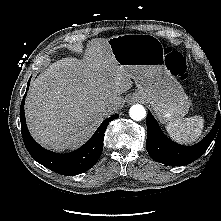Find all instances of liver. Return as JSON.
Wrapping results in <instances>:
<instances>
[{"label":"liver","instance_id":"6515ba94","mask_svg":"<svg viewBox=\"0 0 221 221\" xmlns=\"http://www.w3.org/2000/svg\"><path fill=\"white\" fill-rule=\"evenodd\" d=\"M133 86L130 74L115 61L104 39L89 42L83 60L63 58L32 83L25 101L31 135L56 151L84 144L102 123L104 107Z\"/></svg>","mask_w":221,"mask_h":221}]
</instances>
